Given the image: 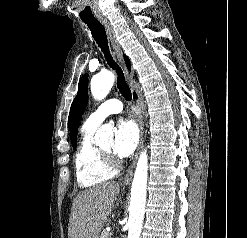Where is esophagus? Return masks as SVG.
Returning <instances> with one entry per match:
<instances>
[{"label":"esophagus","mask_w":247,"mask_h":238,"mask_svg":"<svg viewBox=\"0 0 247 238\" xmlns=\"http://www.w3.org/2000/svg\"><path fill=\"white\" fill-rule=\"evenodd\" d=\"M101 24L105 27L108 38L111 42L112 48L114 50V54L117 57L120 65L123 68L125 77L127 79H129V71L124 63V59H123V55H122V50L121 47L116 39V35L114 33L113 27L112 25L105 19L100 20ZM134 105H135V116H136V120L137 123L139 125V131H140V140H139V145H138V149H137V153L135 155V158L132 162V164L130 165L124 179H123V184L124 185H128L130 184L132 177H133V173H134V169H135V165L140 153V150L142 148V144H143V134H144V124H143V115H142V110H141V106L139 104V102L137 100L134 101Z\"/></svg>","instance_id":"obj_1"}]
</instances>
